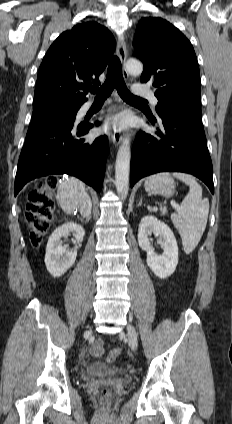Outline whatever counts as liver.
I'll list each match as a JSON object with an SVG mask.
<instances>
[{
    "label": "liver",
    "instance_id": "1",
    "mask_svg": "<svg viewBox=\"0 0 232 424\" xmlns=\"http://www.w3.org/2000/svg\"><path fill=\"white\" fill-rule=\"evenodd\" d=\"M87 195L85 185L75 177L63 179L57 189L58 203L62 210L71 215L80 207L81 196Z\"/></svg>",
    "mask_w": 232,
    "mask_h": 424
}]
</instances>
